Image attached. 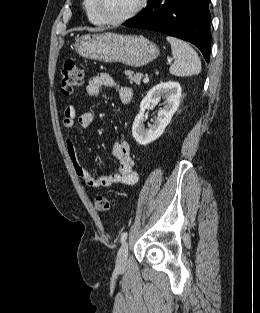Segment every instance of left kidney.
Returning <instances> with one entry per match:
<instances>
[{"instance_id": "1", "label": "left kidney", "mask_w": 260, "mask_h": 313, "mask_svg": "<svg viewBox=\"0 0 260 313\" xmlns=\"http://www.w3.org/2000/svg\"><path fill=\"white\" fill-rule=\"evenodd\" d=\"M181 91L179 83L169 81L156 85L143 98L140 103V111L135 117L132 126V135L139 144L147 145L163 134L179 107ZM161 98L165 100V105L159 109L158 117L154 120L153 124L149 125V128H146L144 125L145 111L152 104H157Z\"/></svg>"}]
</instances>
